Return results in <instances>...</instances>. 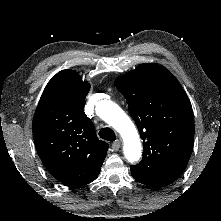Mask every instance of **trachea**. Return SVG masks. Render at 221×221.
<instances>
[{
    "mask_svg": "<svg viewBox=\"0 0 221 221\" xmlns=\"http://www.w3.org/2000/svg\"><path fill=\"white\" fill-rule=\"evenodd\" d=\"M99 136L107 141H114L116 139L115 132L108 127L101 129L99 131Z\"/></svg>",
    "mask_w": 221,
    "mask_h": 221,
    "instance_id": "obj_1",
    "label": "trachea"
}]
</instances>
